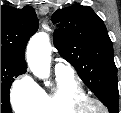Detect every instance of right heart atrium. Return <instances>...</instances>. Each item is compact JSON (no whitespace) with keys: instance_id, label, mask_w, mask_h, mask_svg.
Returning <instances> with one entry per match:
<instances>
[{"instance_id":"1","label":"right heart atrium","mask_w":121,"mask_h":113,"mask_svg":"<svg viewBox=\"0 0 121 113\" xmlns=\"http://www.w3.org/2000/svg\"><path fill=\"white\" fill-rule=\"evenodd\" d=\"M37 90L38 86L29 76L18 77L10 89V100L14 109L21 103L32 102L36 97Z\"/></svg>"}]
</instances>
